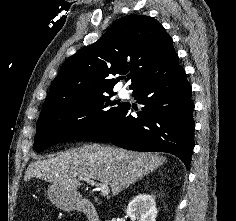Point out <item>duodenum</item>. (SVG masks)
<instances>
[{"instance_id":"1","label":"duodenum","mask_w":236,"mask_h":221,"mask_svg":"<svg viewBox=\"0 0 236 221\" xmlns=\"http://www.w3.org/2000/svg\"><path fill=\"white\" fill-rule=\"evenodd\" d=\"M78 210L86 215L88 221H100L99 213L92 201H81L79 203Z\"/></svg>"}]
</instances>
